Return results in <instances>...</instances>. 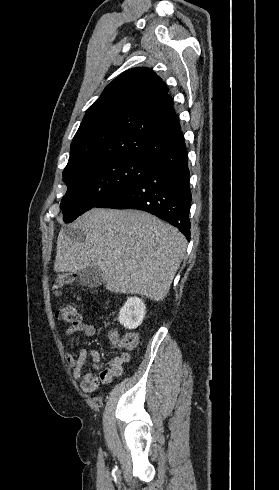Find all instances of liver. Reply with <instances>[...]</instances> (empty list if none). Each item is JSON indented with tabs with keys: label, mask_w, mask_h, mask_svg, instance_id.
<instances>
[{
	"label": "liver",
	"mask_w": 279,
	"mask_h": 490,
	"mask_svg": "<svg viewBox=\"0 0 279 490\" xmlns=\"http://www.w3.org/2000/svg\"><path fill=\"white\" fill-rule=\"evenodd\" d=\"M74 224L86 240L73 242L61 230L54 272L79 274L98 266L110 292L164 300L187 246L177 228L141 210L104 208H93Z\"/></svg>",
	"instance_id": "obj_1"
}]
</instances>
